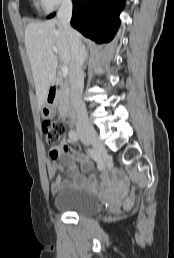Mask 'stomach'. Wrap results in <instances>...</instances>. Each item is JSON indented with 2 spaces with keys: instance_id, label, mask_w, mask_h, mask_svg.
Masks as SVG:
<instances>
[{
  "instance_id": "0dacf381",
  "label": "stomach",
  "mask_w": 174,
  "mask_h": 258,
  "mask_svg": "<svg viewBox=\"0 0 174 258\" xmlns=\"http://www.w3.org/2000/svg\"><path fill=\"white\" fill-rule=\"evenodd\" d=\"M40 111L43 118H50L54 115V108L48 102H46Z\"/></svg>"
}]
</instances>
